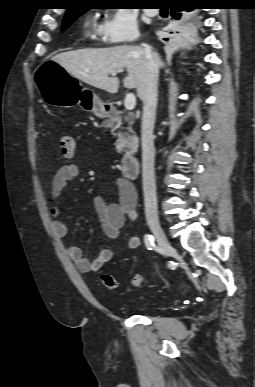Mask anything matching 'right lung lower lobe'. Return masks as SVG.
Returning a JSON list of instances; mask_svg holds the SVG:
<instances>
[{
    "instance_id": "98d812e1",
    "label": "right lung lower lobe",
    "mask_w": 255,
    "mask_h": 387,
    "mask_svg": "<svg viewBox=\"0 0 255 387\" xmlns=\"http://www.w3.org/2000/svg\"><path fill=\"white\" fill-rule=\"evenodd\" d=\"M196 3L191 0H185L178 3H175L170 7L171 16L175 19H179L184 13L183 11L190 12L195 9Z\"/></svg>"
}]
</instances>
